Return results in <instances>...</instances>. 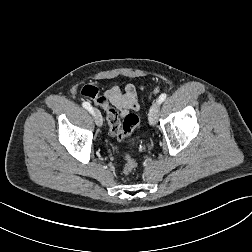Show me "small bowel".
Here are the masks:
<instances>
[{
    "label": "small bowel",
    "mask_w": 252,
    "mask_h": 252,
    "mask_svg": "<svg viewBox=\"0 0 252 252\" xmlns=\"http://www.w3.org/2000/svg\"><path fill=\"white\" fill-rule=\"evenodd\" d=\"M106 102L114 106L121 117L128 115L130 111L140 109L137 88L133 84H127L123 89L113 86L102 95Z\"/></svg>",
    "instance_id": "obj_1"
}]
</instances>
